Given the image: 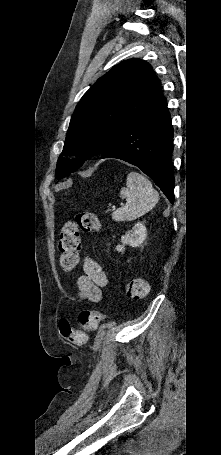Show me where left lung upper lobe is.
Masks as SVG:
<instances>
[{"label": "left lung upper lobe", "mask_w": 221, "mask_h": 455, "mask_svg": "<svg viewBox=\"0 0 221 455\" xmlns=\"http://www.w3.org/2000/svg\"><path fill=\"white\" fill-rule=\"evenodd\" d=\"M160 80L145 61L129 59L99 78L76 106L67 131L56 177L77 170L83 161L99 155L131 122L150 110L163 96Z\"/></svg>", "instance_id": "obj_1"}]
</instances>
